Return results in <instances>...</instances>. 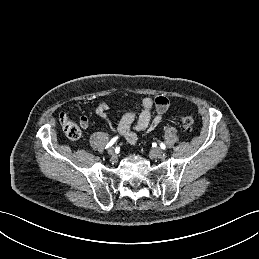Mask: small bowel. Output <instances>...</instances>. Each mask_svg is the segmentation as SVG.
<instances>
[{
    "mask_svg": "<svg viewBox=\"0 0 259 259\" xmlns=\"http://www.w3.org/2000/svg\"><path fill=\"white\" fill-rule=\"evenodd\" d=\"M168 107L169 99L163 95H159L154 99L143 98L136 107L127 111L121 117L117 126H114L108 118L109 104L106 101L98 100L95 112L108 123L112 130L117 131L130 144H134L139 140L142 133L154 129L163 120ZM153 109L156 111L154 117L152 116ZM65 117L69 119L67 115ZM80 125L84 129L88 127L89 121L86 116H81Z\"/></svg>",
    "mask_w": 259,
    "mask_h": 259,
    "instance_id": "1",
    "label": "small bowel"
}]
</instances>
